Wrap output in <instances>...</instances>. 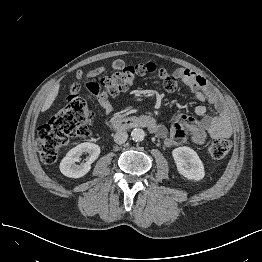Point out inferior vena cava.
I'll use <instances>...</instances> for the list:
<instances>
[{
    "label": "inferior vena cava",
    "instance_id": "1",
    "mask_svg": "<svg viewBox=\"0 0 262 262\" xmlns=\"http://www.w3.org/2000/svg\"><path fill=\"white\" fill-rule=\"evenodd\" d=\"M128 138V134L125 131H119L116 132V134L114 135V141L117 144H123L127 141Z\"/></svg>",
    "mask_w": 262,
    "mask_h": 262
}]
</instances>
